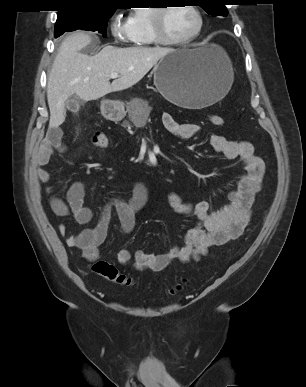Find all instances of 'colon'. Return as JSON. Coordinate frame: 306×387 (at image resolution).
I'll return each mask as SVG.
<instances>
[{
	"mask_svg": "<svg viewBox=\"0 0 306 387\" xmlns=\"http://www.w3.org/2000/svg\"><path fill=\"white\" fill-rule=\"evenodd\" d=\"M210 122L215 126H223L225 121L223 117L212 114L209 116ZM93 143L96 147L107 148L109 146V138L104 133H96L93 137ZM92 270L98 275L108 279L109 281L124 287H130L133 285V279L120 273L117 267L104 260H97L92 265ZM187 280L183 279L180 283L174 286L170 292L176 294L180 292L186 285Z\"/></svg>",
	"mask_w": 306,
	"mask_h": 387,
	"instance_id": "5ec220e1",
	"label": "colon"
}]
</instances>
